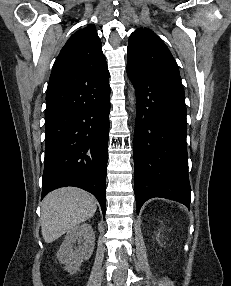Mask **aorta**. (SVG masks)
I'll list each match as a JSON object with an SVG mask.
<instances>
[{"label": "aorta", "instance_id": "1", "mask_svg": "<svg viewBox=\"0 0 231 286\" xmlns=\"http://www.w3.org/2000/svg\"><path fill=\"white\" fill-rule=\"evenodd\" d=\"M128 99H129V103H130V110L132 113H134L135 112V106H136V97H135V90L131 84L129 85Z\"/></svg>", "mask_w": 231, "mask_h": 286}]
</instances>
